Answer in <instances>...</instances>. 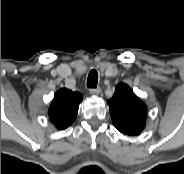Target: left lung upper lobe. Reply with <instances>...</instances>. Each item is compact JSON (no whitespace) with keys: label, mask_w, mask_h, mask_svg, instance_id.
Returning <instances> with one entry per match:
<instances>
[{"label":"left lung upper lobe","mask_w":184,"mask_h":174,"mask_svg":"<svg viewBox=\"0 0 184 174\" xmlns=\"http://www.w3.org/2000/svg\"><path fill=\"white\" fill-rule=\"evenodd\" d=\"M107 103L112 122L120 132L126 135L141 133L145 127L147 108L128 85L119 83Z\"/></svg>","instance_id":"left-lung-upper-lobe-1"}]
</instances>
